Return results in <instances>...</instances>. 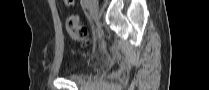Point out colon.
<instances>
[{"label": "colon", "mask_w": 209, "mask_h": 90, "mask_svg": "<svg viewBox=\"0 0 209 90\" xmlns=\"http://www.w3.org/2000/svg\"><path fill=\"white\" fill-rule=\"evenodd\" d=\"M66 2L71 4L72 0H66ZM66 30L73 40L83 44L89 43L88 30L85 26L80 24L78 16L72 15L67 19Z\"/></svg>", "instance_id": "obj_1"}]
</instances>
